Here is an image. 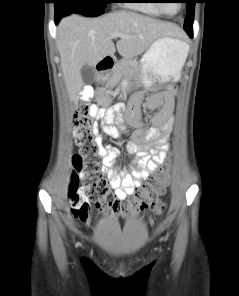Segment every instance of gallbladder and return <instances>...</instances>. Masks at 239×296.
<instances>
[{
  "label": "gallbladder",
  "mask_w": 239,
  "mask_h": 296,
  "mask_svg": "<svg viewBox=\"0 0 239 296\" xmlns=\"http://www.w3.org/2000/svg\"><path fill=\"white\" fill-rule=\"evenodd\" d=\"M81 75L84 83H90L93 81L95 73L93 67L84 65L81 69Z\"/></svg>",
  "instance_id": "bac80fb5"
}]
</instances>
